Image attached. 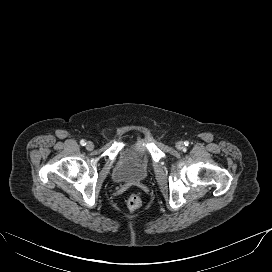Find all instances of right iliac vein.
I'll list each match as a JSON object with an SVG mask.
<instances>
[{
  "mask_svg": "<svg viewBox=\"0 0 272 272\" xmlns=\"http://www.w3.org/2000/svg\"><path fill=\"white\" fill-rule=\"evenodd\" d=\"M93 148H94V144L91 141L86 143V149L87 150H92Z\"/></svg>",
  "mask_w": 272,
  "mask_h": 272,
  "instance_id": "obj_1",
  "label": "right iliac vein"
}]
</instances>
